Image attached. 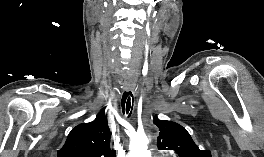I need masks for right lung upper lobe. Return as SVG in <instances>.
<instances>
[{"mask_svg": "<svg viewBox=\"0 0 264 157\" xmlns=\"http://www.w3.org/2000/svg\"><path fill=\"white\" fill-rule=\"evenodd\" d=\"M57 157H116L110 149V130L104 112L90 123L79 124L69 133Z\"/></svg>", "mask_w": 264, "mask_h": 157, "instance_id": "1", "label": "right lung upper lobe"}]
</instances>
